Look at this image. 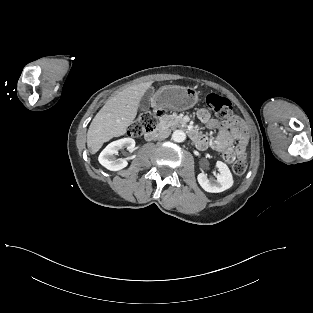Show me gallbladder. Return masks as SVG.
I'll use <instances>...</instances> for the list:
<instances>
[{"mask_svg": "<svg viewBox=\"0 0 313 313\" xmlns=\"http://www.w3.org/2000/svg\"><path fill=\"white\" fill-rule=\"evenodd\" d=\"M151 95H152V92H147V93L143 96L141 102H142V104H143L144 107H147V106L149 105V102H150V99H151Z\"/></svg>", "mask_w": 313, "mask_h": 313, "instance_id": "gallbladder-1", "label": "gallbladder"}]
</instances>
